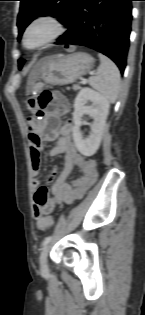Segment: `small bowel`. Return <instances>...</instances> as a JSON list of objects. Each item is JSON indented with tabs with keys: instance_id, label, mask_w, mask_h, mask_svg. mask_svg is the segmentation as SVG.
Segmentation results:
<instances>
[{
	"instance_id": "1",
	"label": "small bowel",
	"mask_w": 145,
	"mask_h": 315,
	"mask_svg": "<svg viewBox=\"0 0 145 315\" xmlns=\"http://www.w3.org/2000/svg\"><path fill=\"white\" fill-rule=\"evenodd\" d=\"M31 126V124H30ZM72 123L66 122L59 129V139L57 144L50 150L51 156H63V168L56 177L57 170L54 169L50 180H53L51 186L52 199L48 201V190L42 187L38 179V174L41 168V147L42 140L50 141L53 138V133L46 128H39L38 132L42 140L34 134H29L28 147H31L30 165L32 173V188L35 191L33 208V216L37 221V227L42 221V216H50L56 205L73 201L82 198V196L94 185L98 177L97 164L94 160L88 159L80 154L72 141L71 136ZM77 168L80 172L79 177H74L68 182L72 171ZM52 218V217H51ZM51 223L45 227L50 228Z\"/></svg>"
}]
</instances>
